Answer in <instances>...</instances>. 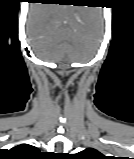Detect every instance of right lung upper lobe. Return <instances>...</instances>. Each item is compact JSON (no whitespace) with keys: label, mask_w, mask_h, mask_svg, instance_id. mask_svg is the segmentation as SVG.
<instances>
[{"label":"right lung upper lobe","mask_w":134,"mask_h":159,"mask_svg":"<svg viewBox=\"0 0 134 159\" xmlns=\"http://www.w3.org/2000/svg\"><path fill=\"white\" fill-rule=\"evenodd\" d=\"M14 149L18 152H21V153H24L27 155H30V154L38 151L37 148H35L31 145H28V144L19 145V146L15 147Z\"/></svg>","instance_id":"1"}]
</instances>
